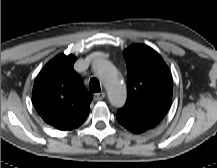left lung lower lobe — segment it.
Wrapping results in <instances>:
<instances>
[{
    "label": "left lung lower lobe",
    "instance_id": "obj_1",
    "mask_svg": "<svg viewBox=\"0 0 217 168\" xmlns=\"http://www.w3.org/2000/svg\"><path fill=\"white\" fill-rule=\"evenodd\" d=\"M122 126H124L126 129H128L129 131H131L133 133H137L136 130H134L133 128L129 127L128 125L122 124Z\"/></svg>",
    "mask_w": 217,
    "mask_h": 168
}]
</instances>
